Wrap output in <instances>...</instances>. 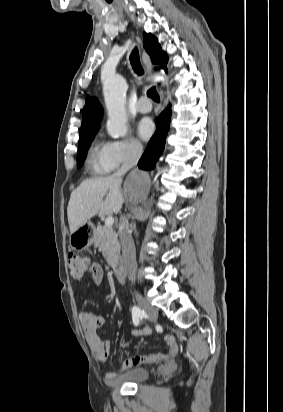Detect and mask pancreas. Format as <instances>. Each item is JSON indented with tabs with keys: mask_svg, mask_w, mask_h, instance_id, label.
Returning a JSON list of instances; mask_svg holds the SVG:
<instances>
[{
	"mask_svg": "<svg viewBox=\"0 0 283 412\" xmlns=\"http://www.w3.org/2000/svg\"><path fill=\"white\" fill-rule=\"evenodd\" d=\"M94 245L102 250L107 263L114 266L120 253V244L113 228L97 226L94 230Z\"/></svg>",
	"mask_w": 283,
	"mask_h": 412,
	"instance_id": "cf45deb5",
	"label": "pancreas"
}]
</instances>
